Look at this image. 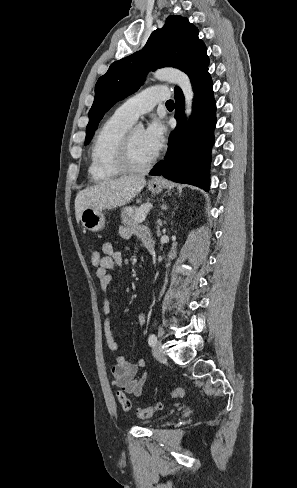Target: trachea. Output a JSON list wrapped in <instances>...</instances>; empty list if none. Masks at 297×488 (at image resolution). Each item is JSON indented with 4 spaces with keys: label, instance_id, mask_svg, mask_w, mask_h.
<instances>
[{
    "label": "trachea",
    "instance_id": "obj_1",
    "mask_svg": "<svg viewBox=\"0 0 297 488\" xmlns=\"http://www.w3.org/2000/svg\"><path fill=\"white\" fill-rule=\"evenodd\" d=\"M166 107H174V102L172 100H168L166 102Z\"/></svg>",
    "mask_w": 297,
    "mask_h": 488
}]
</instances>
